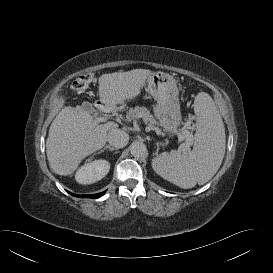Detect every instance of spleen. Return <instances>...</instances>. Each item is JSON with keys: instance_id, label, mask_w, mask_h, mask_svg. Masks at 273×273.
<instances>
[{"instance_id": "1", "label": "spleen", "mask_w": 273, "mask_h": 273, "mask_svg": "<svg viewBox=\"0 0 273 273\" xmlns=\"http://www.w3.org/2000/svg\"><path fill=\"white\" fill-rule=\"evenodd\" d=\"M194 112L197 120L193 150L164 153L152 160L157 174L183 189L207 183L218 171L225 155L224 123L210 95L201 92L196 96Z\"/></svg>"}]
</instances>
